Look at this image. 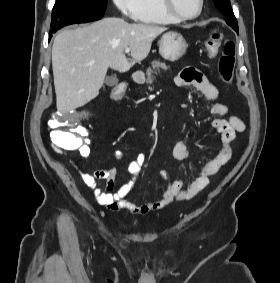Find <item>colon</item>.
<instances>
[{"label": "colon", "mask_w": 280, "mask_h": 283, "mask_svg": "<svg viewBox=\"0 0 280 283\" xmlns=\"http://www.w3.org/2000/svg\"><path fill=\"white\" fill-rule=\"evenodd\" d=\"M222 44V35L218 30L213 31L205 42V50L209 57H214ZM236 45L229 40L223 44V51L218 62V71L221 79L231 83L235 67ZM125 93V87L116 86L111 91L113 99H120ZM91 111L87 112L86 120L90 119ZM78 121V110H55L49 120L50 138L56 150L73 151L80 146L77 132H88V127H64L67 122Z\"/></svg>", "instance_id": "colon-1"}]
</instances>
